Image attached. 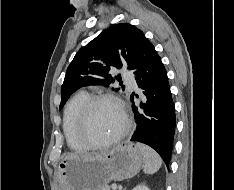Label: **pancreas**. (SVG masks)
Listing matches in <instances>:
<instances>
[{"label": "pancreas", "mask_w": 234, "mask_h": 190, "mask_svg": "<svg viewBox=\"0 0 234 190\" xmlns=\"http://www.w3.org/2000/svg\"><path fill=\"white\" fill-rule=\"evenodd\" d=\"M101 190H110V187L109 186H105Z\"/></svg>", "instance_id": "1"}]
</instances>
